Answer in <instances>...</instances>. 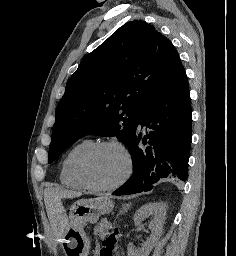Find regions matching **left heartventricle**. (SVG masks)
<instances>
[{
	"instance_id": "left-heart-ventricle-1",
	"label": "left heart ventricle",
	"mask_w": 236,
	"mask_h": 256,
	"mask_svg": "<svg viewBox=\"0 0 236 256\" xmlns=\"http://www.w3.org/2000/svg\"><path fill=\"white\" fill-rule=\"evenodd\" d=\"M125 166L122 152L115 147H107L90 159L87 168L88 178L97 187H109L121 179Z\"/></svg>"
}]
</instances>
